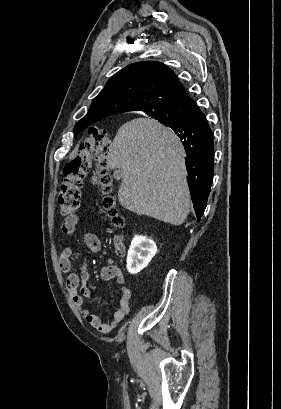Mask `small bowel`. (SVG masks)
<instances>
[{
	"label": "small bowel",
	"mask_w": 281,
	"mask_h": 409,
	"mask_svg": "<svg viewBox=\"0 0 281 409\" xmlns=\"http://www.w3.org/2000/svg\"><path fill=\"white\" fill-rule=\"evenodd\" d=\"M78 224L79 217L77 215L67 218L63 224V231L66 234H72ZM82 241L93 253H97L101 249V244L98 237L91 232L84 233L82 236ZM72 254V248L67 247L61 252L59 257L61 270L68 273L66 287L72 296L74 304L82 311L86 321L100 333L107 334L112 331L128 314L131 302V290L126 286L121 287L117 309L110 320L103 321L91 310L84 308L85 299H90L92 297V292L87 286L89 281V273L86 269V263L81 264L80 275L73 272L71 261ZM100 278L104 281L115 280L119 285H123L125 283V276L120 266L112 259H109L107 265L102 268Z\"/></svg>",
	"instance_id": "obj_1"
}]
</instances>
